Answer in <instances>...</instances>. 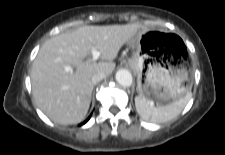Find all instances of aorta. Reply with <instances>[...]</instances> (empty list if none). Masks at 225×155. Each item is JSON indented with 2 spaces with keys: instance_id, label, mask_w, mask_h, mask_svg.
<instances>
[{
  "instance_id": "762f6f07",
  "label": "aorta",
  "mask_w": 225,
  "mask_h": 155,
  "mask_svg": "<svg viewBox=\"0 0 225 155\" xmlns=\"http://www.w3.org/2000/svg\"><path fill=\"white\" fill-rule=\"evenodd\" d=\"M115 78L116 81L123 87H129L132 84V75L128 70H118Z\"/></svg>"
}]
</instances>
